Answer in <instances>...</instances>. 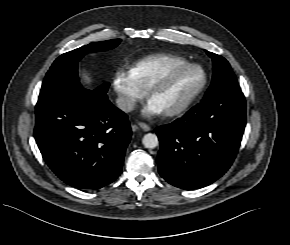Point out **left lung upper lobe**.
Instances as JSON below:
<instances>
[{
	"instance_id": "left-lung-upper-lobe-1",
	"label": "left lung upper lobe",
	"mask_w": 290,
	"mask_h": 245,
	"mask_svg": "<svg viewBox=\"0 0 290 245\" xmlns=\"http://www.w3.org/2000/svg\"><path fill=\"white\" fill-rule=\"evenodd\" d=\"M212 58L214 74L212 84L209 87L204 99H210L218 94L227 91H241L231 67L222 56L206 51Z\"/></svg>"
}]
</instances>
